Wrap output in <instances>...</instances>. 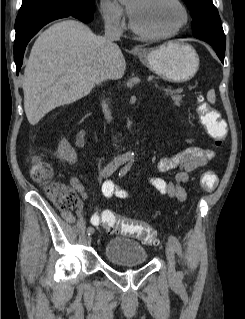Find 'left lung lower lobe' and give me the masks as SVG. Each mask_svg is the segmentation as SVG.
Here are the masks:
<instances>
[{
	"label": "left lung lower lobe",
	"instance_id": "0a47b994",
	"mask_svg": "<svg viewBox=\"0 0 245 319\" xmlns=\"http://www.w3.org/2000/svg\"><path fill=\"white\" fill-rule=\"evenodd\" d=\"M216 51L218 57L220 58V60L223 62L224 61V56H225V49L220 48L212 43H209Z\"/></svg>",
	"mask_w": 245,
	"mask_h": 319
}]
</instances>
